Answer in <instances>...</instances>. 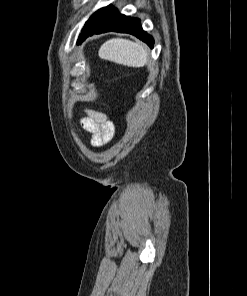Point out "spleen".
I'll use <instances>...</instances> for the list:
<instances>
[{
  "label": "spleen",
  "instance_id": "3e777b00",
  "mask_svg": "<svg viewBox=\"0 0 247 296\" xmlns=\"http://www.w3.org/2000/svg\"><path fill=\"white\" fill-rule=\"evenodd\" d=\"M101 59L128 67H143L149 61V55L139 42L113 38L106 41L99 49Z\"/></svg>",
  "mask_w": 247,
  "mask_h": 296
}]
</instances>
